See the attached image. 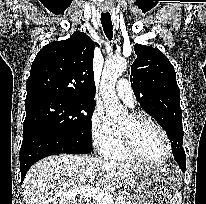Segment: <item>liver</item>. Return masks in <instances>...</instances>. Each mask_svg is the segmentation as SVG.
Here are the masks:
<instances>
[{
  "mask_svg": "<svg viewBox=\"0 0 206 204\" xmlns=\"http://www.w3.org/2000/svg\"><path fill=\"white\" fill-rule=\"evenodd\" d=\"M144 167L104 160L98 156L59 154L33 165L24 179L26 204H80L64 195L87 186L113 191L129 185Z\"/></svg>",
  "mask_w": 206,
  "mask_h": 204,
  "instance_id": "obj_1",
  "label": "liver"
}]
</instances>
